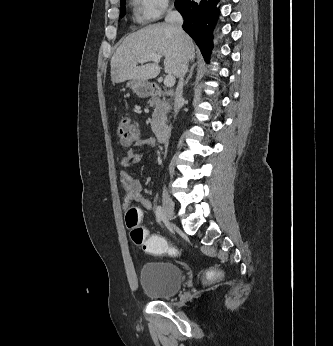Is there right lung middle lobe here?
I'll return each mask as SVG.
<instances>
[{
    "label": "right lung middle lobe",
    "instance_id": "right-lung-middle-lobe-1",
    "mask_svg": "<svg viewBox=\"0 0 333 346\" xmlns=\"http://www.w3.org/2000/svg\"><path fill=\"white\" fill-rule=\"evenodd\" d=\"M120 4H121L120 15H121V17H123L124 14H125V7H124V5H125V0H121Z\"/></svg>",
    "mask_w": 333,
    "mask_h": 346
}]
</instances>
